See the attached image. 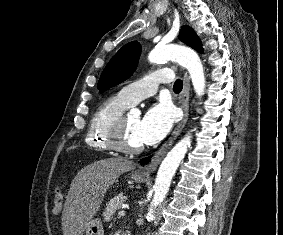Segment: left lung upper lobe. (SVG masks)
Segmentation results:
<instances>
[{"label": "left lung upper lobe", "mask_w": 283, "mask_h": 235, "mask_svg": "<svg viewBox=\"0 0 283 235\" xmlns=\"http://www.w3.org/2000/svg\"><path fill=\"white\" fill-rule=\"evenodd\" d=\"M179 39L202 53V44L189 26L182 27ZM141 54L140 43L133 41L124 45L109 61L98 82V89L103 92L128 79L135 71Z\"/></svg>", "instance_id": "obj_1"}]
</instances>
